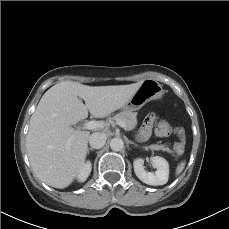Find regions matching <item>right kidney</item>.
Wrapping results in <instances>:
<instances>
[{
  "instance_id": "right-kidney-1",
  "label": "right kidney",
  "mask_w": 229,
  "mask_h": 229,
  "mask_svg": "<svg viewBox=\"0 0 229 229\" xmlns=\"http://www.w3.org/2000/svg\"><path fill=\"white\" fill-rule=\"evenodd\" d=\"M91 162L87 161L86 163H84V165L82 166V168L80 169L78 175H77V179L79 182H84L86 181L87 177L89 176L90 172H91Z\"/></svg>"
}]
</instances>
